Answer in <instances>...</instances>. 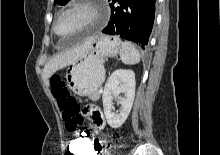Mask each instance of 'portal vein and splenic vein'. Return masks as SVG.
I'll use <instances>...</instances> for the list:
<instances>
[{
	"instance_id": "portal-vein-and-splenic-vein-1",
	"label": "portal vein and splenic vein",
	"mask_w": 220,
	"mask_h": 155,
	"mask_svg": "<svg viewBox=\"0 0 220 155\" xmlns=\"http://www.w3.org/2000/svg\"><path fill=\"white\" fill-rule=\"evenodd\" d=\"M99 93H102V89H99V91H98Z\"/></svg>"
}]
</instances>
